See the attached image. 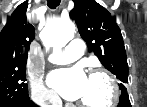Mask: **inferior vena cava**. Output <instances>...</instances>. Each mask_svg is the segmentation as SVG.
Masks as SVG:
<instances>
[{"instance_id": "obj_1", "label": "inferior vena cava", "mask_w": 147, "mask_h": 107, "mask_svg": "<svg viewBox=\"0 0 147 107\" xmlns=\"http://www.w3.org/2000/svg\"><path fill=\"white\" fill-rule=\"evenodd\" d=\"M56 105L55 107H62V101L60 99H56Z\"/></svg>"}]
</instances>
